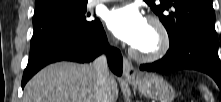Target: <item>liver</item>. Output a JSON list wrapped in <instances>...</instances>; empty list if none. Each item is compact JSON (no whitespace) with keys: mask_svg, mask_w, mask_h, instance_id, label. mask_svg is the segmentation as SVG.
<instances>
[{"mask_svg":"<svg viewBox=\"0 0 221 102\" xmlns=\"http://www.w3.org/2000/svg\"><path fill=\"white\" fill-rule=\"evenodd\" d=\"M96 74L92 64L57 62L38 72L25 86L23 102H94ZM118 85L110 76L108 102H116Z\"/></svg>","mask_w":221,"mask_h":102,"instance_id":"obj_1","label":"liver"}]
</instances>
